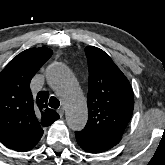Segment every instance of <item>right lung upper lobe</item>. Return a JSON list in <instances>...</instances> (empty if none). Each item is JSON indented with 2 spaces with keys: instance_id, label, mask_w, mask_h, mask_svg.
Returning <instances> with one entry per match:
<instances>
[{
  "instance_id": "cb5924a9",
  "label": "right lung upper lobe",
  "mask_w": 165,
  "mask_h": 165,
  "mask_svg": "<svg viewBox=\"0 0 165 165\" xmlns=\"http://www.w3.org/2000/svg\"><path fill=\"white\" fill-rule=\"evenodd\" d=\"M49 48L27 49L0 73V142L22 152L31 150L41 139L43 127L59 119L47 107L49 93L32 95L30 81L51 57Z\"/></svg>"
}]
</instances>
